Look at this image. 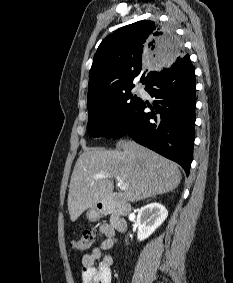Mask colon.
I'll return each instance as SVG.
<instances>
[{"label": "colon", "mask_w": 233, "mask_h": 283, "mask_svg": "<svg viewBox=\"0 0 233 283\" xmlns=\"http://www.w3.org/2000/svg\"><path fill=\"white\" fill-rule=\"evenodd\" d=\"M96 236L97 231L94 228H88L74 239L71 245L78 251L88 250L95 242Z\"/></svg>", "instance_id": "1"}]
</instances>
